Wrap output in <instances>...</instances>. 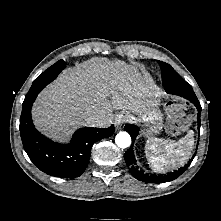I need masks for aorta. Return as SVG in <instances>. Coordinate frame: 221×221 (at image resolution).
Instances as JSON below:
<instances>
[{
    "instance_id": "1",
    "label": "aorta",
    "mask_w": 221,
    "mask_h": 221,
    "mask_svg": "<svg viewBox=\"0 0 221 221\" xmlns=\"http://www.w3.org/2000/svg\"><path fill=\"white\" fill-rule=\"evenodd\" d=\"M115 143L119 148H127L131 144V137L127 132L121 131L116 135Z\"/></svg>"
}]
</instances>
